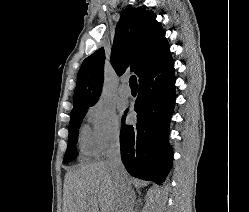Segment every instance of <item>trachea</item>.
Returning a JSON list of instances; mask_svg holds the SVG:
<instances>
[{"label":"trachea","instance_id":"3493384b","mask_svg":"<svg viewBox=\"0 0 249 212\" xmlns=\"http://www.w3.org/2000/svg\"><path fill=\"white\" fill-rule=\"evenodd\" d=\"M129 85L131 88H137V78L135 75H132L129 80Z\"/></svg>","mask_w":249,"mask_h":212}]
</instances>
